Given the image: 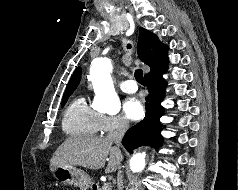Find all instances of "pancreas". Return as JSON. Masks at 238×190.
<instances>
[{
    "label": "pancreas",
    "mask_w": 238,
    "mask_h": 190,
    "mask_svg": "<svg viewBox=\"0 0 238 190\" xmlns=\"http://www.w3.org/2000/svg\"><path fill=\"white\" fill-rule=\"evenodd\" d=\"M97 190H111V187L106 188V186L104 185L103 187H100Z\"/></svg>",
    "instance_id": "obj_1"
}]
</instances>
